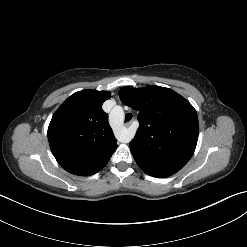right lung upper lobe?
<instances>
[{"label": "right lung upper lobe", "mask_w": 247, "mask_h": 247, "mask_svg": "<svg viewBox=\"0 0 247 247\" xmlns=\"http://www.w3.org/2000/svg\"><path fill=\"white\" fill-rule=\"evenodd\" d=\"M107 91L83 90L68 97L53 115L48 140L58 163L69 173L89 176L101 170L117 148L102 104Z\"/></svg>", "instance_id": "obj_1"}]
</instances>
